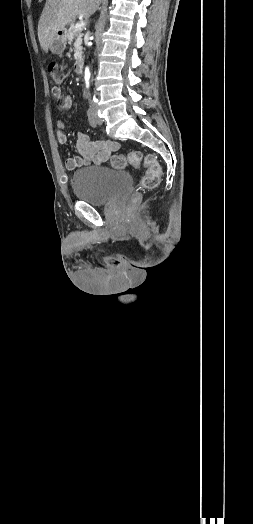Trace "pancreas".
Masks as SVG:
<instances>
[{"label":"pancreas","instance_id":"cf45deb5","mask_svg":"<svg viewBox=\"0 0 253 524\" xmlns=\"http://www.w3.org/2000/svg\"><path fill=\"white\" fill-rule=\"evenodd\" d=\"M65 36H66V39L69 41V43H71L72 41H75L74 47L78 51L77 59H79V55L82 50L81 44H82V36H83V34L81 33V30L76 29L75 23L72 22L70 24L69 29L66 30Z\"/></svg>","mask_w":253,"mask_h":524}]
</instances>
